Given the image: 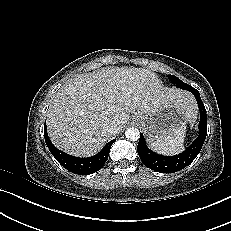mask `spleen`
I'll use <instances>...</instances> for the list:
<instances>
[{"label":"spleen","instance_id":"1","mask_svg":"<svg viewBox=\"0 0 231 231\" xmlns=\"http://www.w3.org/2000/svg\"><path fill=\"white\" fill-rule=\"evenodd\" d=\"M186 128L177 130L174 134L158 139L150 147L159 154L176 155L184 150Z\"/></svg>","mask_w":231,"mask_h":231}]
</instances>
